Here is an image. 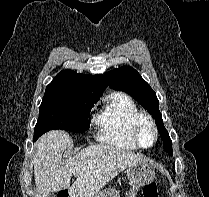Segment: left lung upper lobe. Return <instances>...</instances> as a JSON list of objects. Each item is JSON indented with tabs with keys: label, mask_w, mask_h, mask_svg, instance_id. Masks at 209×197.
<instances>
[{
	"label": "left lung upper lobe",
	"mask_w": 209,
	"mask_h": 197,
	"mask_svg": "<svg viewBox=\"0 0 209 197\" xmlns=\"http://www.w3.org/2000/svg\"><path fill=\"white\" fill-rule=\"evenodd\" d=\"M105 79L111 88L131 95L155 118L158 131L163 140L164 150L172 155V141L163 125L156 93L149 84L142 79L135 69L129 66H123L105 73Z\"/></svg>",
	"instance_id": "left-lung-upper-lobe-1"
}]
</instances>
